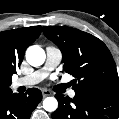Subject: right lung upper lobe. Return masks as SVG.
<instances>
[{
    "instance_id": "cb5924a9",
    "label": "right lung upper lobe",
    "mask_w": 119,
    "mask_h": 119,
    "mask_svg": "<svg viewBox=\"0 0 119 119\" xmlns=\"http://www.w3.org/2000/svg\"><path fill=\"white\" fill-rule=\"evenodd\" d=\"M41 33V26L0 32V90L9 88L11 78L24 58L28 46Z\"/></svg>"
}]
</instances>
